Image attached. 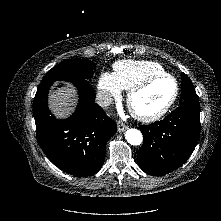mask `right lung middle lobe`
<instances>
[{
	"mask_svg": "<svg viewBox=\"0 0 221 221\" xmlns=\"http://www.w3.org/2000/svg\"><path fill=\"white\" fill-rule=\"evenodd\" d=\"M95 63L84 59H69L54 66L44 77L42 83L52 84L58 80L75 81L89 79L94 74Z\"/></svg>",
	"mask_w": 221,
	"mask_h": 221,
	"instance_id": "dd1d6c3e",
	"label": "right lung middle lobe"
}]
</instances>
